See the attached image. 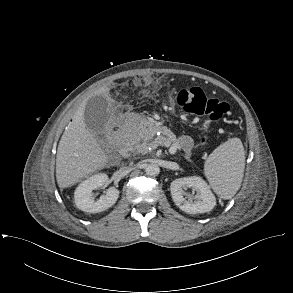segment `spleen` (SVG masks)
Returning a JSON list of instances; mask_svg holds the SVG:
<instances>
[{
    "instance_id": "3e777b00",
    "label": "spleen",
    "mask_w": 293,
    "mask_h": 293,
    "mask_svg": "<svg viewBox=\"0 0 293 293\" xmlns=\"http://www.w3.org/2000/svg\"><path fill=\"white\" fill-rule=\"evenodd\" d=\"M244 167L243 144L239 138H231L209 155L204 174L218 196L230 199L240 188Z\"/></svg>"
}]
</instances>
